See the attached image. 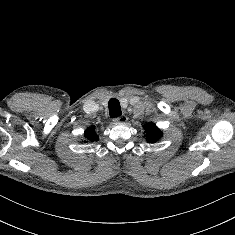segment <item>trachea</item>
<instances>
[{"instance_id":"obj_1","label":"trachea","mask_w":235,"mask_h":235,"mask_svg":"<svg viewBox=\"0 0 235 235\" xmlns=\"http://www.w3.org/2000/svg\"><path fill=\"white\" fill-rule=\"evenodd\" d=\"M108 108H109V114L110 117H118L121 116V106L119 101L116 98L110 99L108 103Z\"/></svg>"}]
</instances>
